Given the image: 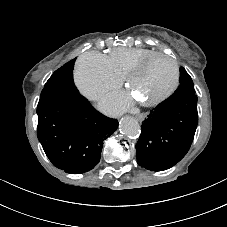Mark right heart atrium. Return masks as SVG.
<instances>
[{"label":"right heart atrium","instance_id":"obj_1","mask_svg":"<svg viewBox=\"0 0 227 227\" xmlns=\"http://www.w3.org/2000/svg\"><path fill=\"white\" fill-rule=\"evenodd\" d=\"M74 79L81 93L91 100L99 99L122 83V77L112 69L107 56L97 51L81 55L76 63Z\"/></svg>","mask_w":227,"mask_h":227}]
</instances>
